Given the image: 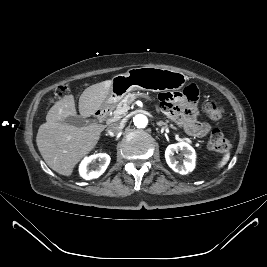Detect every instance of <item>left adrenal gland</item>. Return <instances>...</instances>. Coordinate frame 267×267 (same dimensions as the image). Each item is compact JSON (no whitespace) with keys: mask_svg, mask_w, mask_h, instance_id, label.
<instances>
[{"mask_svg":"<svg viewBox=\"0 0 267 267\" xmlns=\"http://www.w3.org/2000/svg\"><path fill=\"white\" fill-rule=\"evenodd\" d=\"M156 124L159 126V127H161V126H163V125H167L165 122H163V121H159V122H156Z\"/></svg>","mask_w":267,"mask_h":267,"instance_id":"a2214340","label":"left adrenal gland"}]
</instances>
